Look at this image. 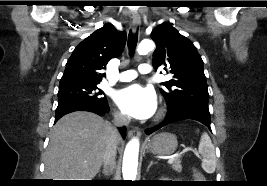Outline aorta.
<instances>
[{"label": "aorta", "mask_w": 267, "mask_h": 186, "mask_svg": "<svg viewBox=\"0 0 267 186\" xmlns=\"http://www.w3.org/2000/svg\"><path fill=\"white\" fill-rule=\"evenodd\" d=\"M154 49V42L149 39L142 40L138 47L139 54H146ZM138 155H139V140L134 138L128 142L126 145L123 165H122V175L123 180L135 181L137 175L138 166Z\"/></svg>", "instance_id": "obj_1"}]
</instances>
